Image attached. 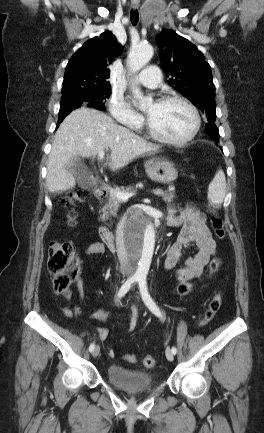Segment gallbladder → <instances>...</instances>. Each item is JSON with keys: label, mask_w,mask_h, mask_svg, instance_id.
Listing matches in <instances>:
<instances>
[{"label": "gallbladder", "mask_w": 264, "mask_h": 433, "mask_svg": "<svg viewBox=\"0 0 264 433\" xmlns=\"http://www.w3.org/2000/svg\"><path fill=\"white\" fill-rule=\"evenodd\" d=\"M78 184L83 188H94V183L90 173L87 171L86 166L82 163L80 157H75L67 166Z\"/></svg>", "instance_id": "obj_1"}]
</instances>
